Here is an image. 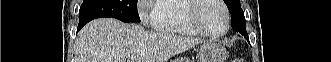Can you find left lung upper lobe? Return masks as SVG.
Instances as JSON below:
<instances>
[{
  "label": "left lung upper lobe",
  "instance_id": "obj_1",
  "mask_svg": "<svg viewBox=\"0 0 331 62\" xmlns=\"http://www.w3.org/2000/svg\"><path fill=\"white\" fill-rule=\"evenodd\" d=\"M224 2L231 13V21L245 29V17L240 6V0H224Z\"/></svg>",
  "mask_w": 331,
  "mask_h": 62
}]
</instances>
